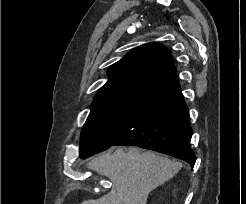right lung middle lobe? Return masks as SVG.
Returning <instances> with one entry per match:
<instances>
[{
    "label": "right lung middle lobe",
    "instance_id": "dd1d6c3e",
    "mask_svg": "<svg viewBox=\"0 0 246 204\" xmlns=\"http://www.w3.org/2000/svg\"><path fill=\"white\" fill-rule=\"evenodd\" d=\"M136 99L95 101L81 131L80 158L108 149Z\"/></svg>",
    "mask_w": 246,
    "mask_h": 204
}]
</instances>
